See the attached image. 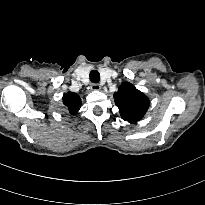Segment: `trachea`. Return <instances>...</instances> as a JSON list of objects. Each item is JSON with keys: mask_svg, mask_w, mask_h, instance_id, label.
<instances>
[{"mask_svg": "<svg viewBox=\"0 0 205 205\" xmlns=\"http://www.w3.org/2000/svg\"><path fill=\"white\" fill-rule=\"evenodd\" d=\"M89 76H90L91 82L93 83H98L100 81V74L97 70H92Z\"/></svg>", "mask_w": 205, "mask_h": 205, "instance_id": "3493384b", "label": "trachea"}]
</instances>
